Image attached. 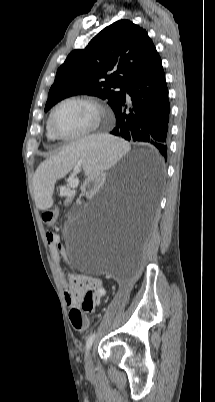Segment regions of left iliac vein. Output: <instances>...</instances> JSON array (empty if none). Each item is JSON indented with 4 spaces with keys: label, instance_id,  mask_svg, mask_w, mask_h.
Wrapping results in <instances>:
<instances>
[{
    "label": "left iliac vein",
    "instance_id": "left-iliac-vein-1",
    "mask_svg": "<svg viewBox=\"0 0 215 402\" xmlns=\"http://www.w3.org/2000/svg\"><path fill=\"white\" fill-rule=\"evenodd\" d=\"M85 367L87 370H91L93 367L92 356L89 351L86 353V356H85Z\"/></svg>",
    "mask_w": 215,
    "mask_h": 402
}]
</instances>
